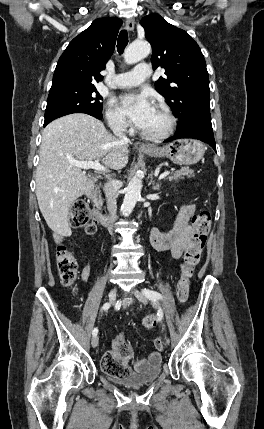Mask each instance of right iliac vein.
I'll list each match as a JSON object with an SVG mask.
<instances>
[{"label": "right iliac vein", "mask_w": 264, "mask_h": 429, "mask_svg": "<svg viewBox=\"0 0 264 429\" xmlns=\"http://www.w3.org/2000/svg\"><path fill=\"white\" fill-rule=\"evenodd\" d=\"M116 296H117V288L114 287L109 293V303L110 304L115 302ZM98 343H99V337L97 335L93 336V338L91 340L92 347L95 348L98 345Z\"/></svg>", "instance_id": "right-iliac-vein-1"}]
</instances>
